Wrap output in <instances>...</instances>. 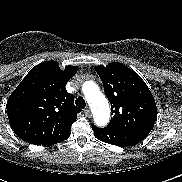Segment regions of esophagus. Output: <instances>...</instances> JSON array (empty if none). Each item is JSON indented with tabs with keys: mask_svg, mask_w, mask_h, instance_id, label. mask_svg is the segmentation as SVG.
I'll return each instance as SVG.
<instances>
[{
	"mask_svg": "<svg viewBox=\"0 0 182 182\" xmlns=\"http://www.w3.org/2000/svg\"><path fill=\"white\" fill-rule=\"evenodd\" d=\"M84 114L86 117L90 118L92 116L91 114V110L89 107H87L85 110H84Z\"/></svg>",
	"mask_w": 182,
	"mask_h": 182,
	"instance_id": "1",
	"label": "esophagus"
}]
</instances>
